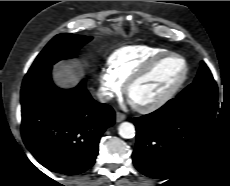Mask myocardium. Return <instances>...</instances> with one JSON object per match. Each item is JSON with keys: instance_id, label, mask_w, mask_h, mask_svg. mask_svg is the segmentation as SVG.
Masks as SVG:
<instances>
[{"instance_id": "f54148a6", "label": "myocardium", "mask_w": 230, "mask_h": 186, "mask_svg": "<svg viewBox=\"0 0 230 186\" xmlns=\"http://www.w3.org/2000/svg\"><path fill=\"white\" fill-rule=\"evenodd\" d=\"M169 57H175L182 61L183 72L181 76L176 80L175 83H173V85L163 95H161L156 100L146 104H140V105L134 104L135 108L138 111L143 113H150L161 108L174 97V95L178 92V90L182 87V85L186 81L189 74V65L186 59L177 53L165 52L149 60L143 67H141L138 71H136L126 80L125 88H124L126 95L129 96L130 89L135 83H137L139 80L147 76L160 62H162L164 59Z\"/></svg>"}]
</instances>
